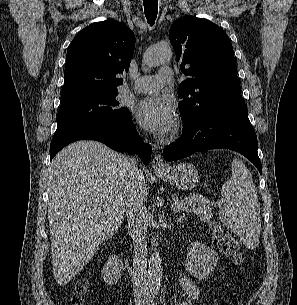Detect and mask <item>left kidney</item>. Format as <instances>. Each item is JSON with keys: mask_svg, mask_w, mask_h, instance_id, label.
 I'll return each mask as SVG.
<instances>
[{"mask_svg": "<svg viewBox=\"0 0 297 305\" xmlns=\"http://www.w3.org/2000/svg\"><path fill=\"white\" fill-rule=\"evenodd\" d=\"M215 250L200 242H193L188 247L186 270L199 280H206L218 262Z\"/></svg>", "mask_w": 297, "mask_h": 305, "instance_id": "5707ae66", "label": "left kidney"}]
</instances>
